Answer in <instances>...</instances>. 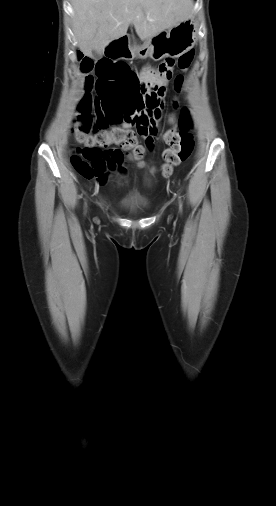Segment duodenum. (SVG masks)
Here are the masks:
<instances>
[{
    "label": "duodenum",
    "mask_w": 276,
    "mask_h": 506,
    "mask_svg": "<svg viewBox=\"0 0 276 506\" xmlns=\"http://www.w3.org/2000/svg\"><path fill=\"white\" fill-rule=\"evenodd\" d=\"M104 58H132L134 51L130 45H127V36L121 35L114 39L109 45L104 47L102 51Z\"/></svg>",
    "instance_id": "410a0bca"
}]
</instances>
